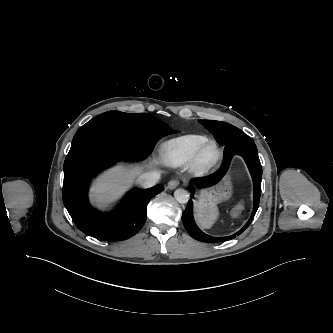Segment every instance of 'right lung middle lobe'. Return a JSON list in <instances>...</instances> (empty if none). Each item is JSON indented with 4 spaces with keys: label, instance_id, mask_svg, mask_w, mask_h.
Segmentation results:
<instances>
[{
    "label": "right lung middle lobe",
    "instance_id": "obj_1",
    "mask_svg": "<svg viewBox=\"0 0 333 333\" xmlns=\"http://www.w3.org/2000/svg\"><path fill=\"white\" fill-rule=\"evenodd\" d=\"M176 133L164 122L147 113L105 112L83 125L75 134L76 142L89 135H106L149 155L163 136Z\"/></svg>",
    "mask_w": 333,
    "mask_h": 333
}]
</instances>
